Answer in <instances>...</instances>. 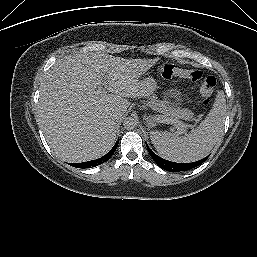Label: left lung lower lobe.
Instances as JSON below:
<instances>
[{
  "instance_id": "1",
  "label": "left lung lower lobe",
  "mask_w": 257,
  "mask_h": 257,
  "mask_svg": "<svg viewBox=\"0 0 257 257\" xmlns=\"http://www.w3.org/2000/svg\"><path fill=\"white\" fill-rule=\"evenodd\" d=\"M146 146H147L149 154L151 155L152 159L157 163V165L160 166L161 168H163L164 170L170 171V172H180V171L190 170V169L202 164L209 157V156H207L199 161L192 162V163H175V162H171V161H168L166 159H163V158L157 156L149 148V146L147 144H146Z\"/></svg>"
}]
</instances>
